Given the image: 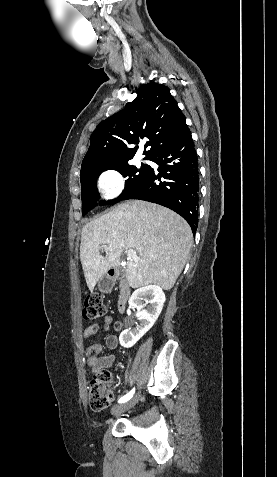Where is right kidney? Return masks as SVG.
<instances>
[{
  "mask_svg": "<svg viewBox=\"0 0 277 477\" xmlns=\"http://www.w3.org/2000/svg\"><path fill=\"white\" fill-rule=\"evenodd\" d=\"M166 300L165 294L161 287L157 285H148L141 287L133 292L128 303L130 308H136V317L140 320V325L136 328H127L121 332L119 336L120 345L124 348H130L149 331L159 317L164 302ZM143 301L146 303L143 304ZM147 309H143L145 305Z\"/></svg>",
  "mask_w": 277,
  "mask_h": 477,
  "instance_id": "1",
  "label": "right kidney"
}]
</instances>
